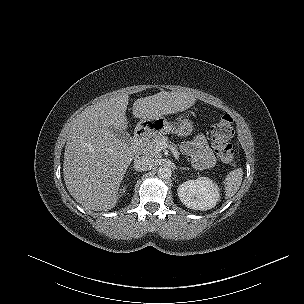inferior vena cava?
<instances>
[{"mask_svg":"<svg viewBox=\"0 0 304 304\" xmlns=\"http://www.w3.org/2000/svg\"><path fill=\"white\" fill-rule=\"evenodd\" d=\"M154 166V160L147 156L134 159V168L136 171L142 172L150 170Z\"/></svg>","mask_w":304,"mask_h":304,"instance_id":"obj_1","label":"inferior vena cava"}]
</instances>
